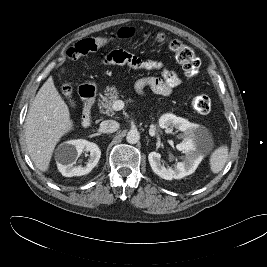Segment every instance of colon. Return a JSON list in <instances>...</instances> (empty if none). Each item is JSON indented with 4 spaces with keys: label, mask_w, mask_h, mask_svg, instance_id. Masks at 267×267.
I'll return each mask as SVG.
<instances>
[{
    "label": "colon",
    "mask_w": 267,
    "mask_h": 267,
    "mask_svg": "<svg viewBox=\"0 0 267 267\" xmlns=\"http://www.w3.org/2000/svg\"><path fill=\"white\" fill-rule=\"evenodd\" d=\"M134 34L135 30L133 28L124 27L121 28L116 35L111 37L85 38L70 47L67 50V56L70 60H76L83 55L99 50L115 39H129L132 38ZM145 37L154 39L158 42L167 43L176 60L182 66L186 77L191 78L197 74L200 61L191 47L185 45L179 40L167 39L161 33H147ZM61 92L69 105L73 106L72 87L69 82H63ZM191 106L198 114H207L211 109V101L206 95H196L191 100Z\"/></svg>",
    "instance_id": "1"
}]
</instances>
